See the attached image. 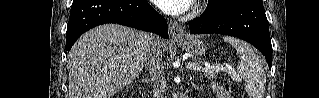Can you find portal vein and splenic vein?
Here are the masks:
<instances>
[{
	"mask_svg": "<svg viewBox=\"0 0 319 98\" xmlns=\"http://www.w3.org/2000/svg\"><path fill=\"white\" fill-rule=\"evenodd\" d=\"M187 68L190 69V70H193V71H199V70L203 69L202 66L200 64H198V63H189V64H187ZM206 68L213 69V70H215L217 72L221 71V70H226V67H224L223 65H212V66H210L209 64H205V68L204 69H206ZM229 72H230V74L232 76H236L234 71L229 70Z\"/></svg>",
	"mask_w": 319,
	"mask_h": 98,
	"instance_id": "portal-vein-and-splenic-vein-1",
	"label": "portal vein and splenic vein"
}]
</instances>
